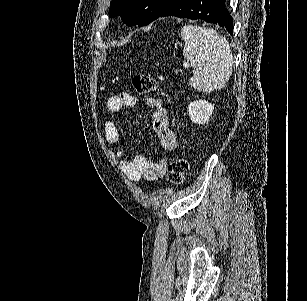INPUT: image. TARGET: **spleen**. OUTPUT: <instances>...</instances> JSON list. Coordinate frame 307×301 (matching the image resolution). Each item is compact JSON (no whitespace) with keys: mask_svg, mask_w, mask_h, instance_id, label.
I'll use <instances>...</instances> for the list:
<instances>
[{"mask_svg":"<svg viewBox=\"0 0 307 301\" xmlns=\"http://www.w3.org/2000/svg\"><path fill=\"white\" fill-rule=\"evenodd\" d=\"M180 36L185 42L183 66L194 68L191 86L200 92L224 88L233 72V54L225 36L197 24L183 26Z\"/></svg>","mask_w":307,"mask_h":301,"instance_id":"1","label":"spleen"}]
</instances>
